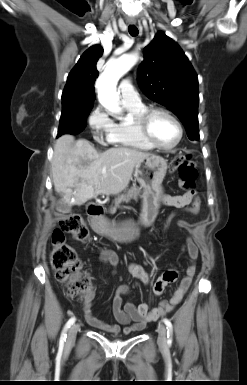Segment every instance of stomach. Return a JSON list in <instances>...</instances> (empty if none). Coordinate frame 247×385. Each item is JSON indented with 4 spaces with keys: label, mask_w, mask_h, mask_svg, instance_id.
<instances>
[{
    "label": "stomach",
    "mask_w": 247,
    "mask_h": 385,
    "mask_svg": "<svg viewBox=\"0 0 247 385\" xmlns=\"http://www.w3.org/2000/svg\"><path fill=\"white\" fill-rule=\"evenodd\" d=\"M167 171V161L157 155L150 154L135 165L134 178L143 188L142 213L140 222L150 226L160 207L163 194L162 182ZM104 233L118 242H131L139 235V229L133 223H122L117 226L105 224Z\"/></svg>",
    "instance_id": "0dacf381"
}]
</instances>
